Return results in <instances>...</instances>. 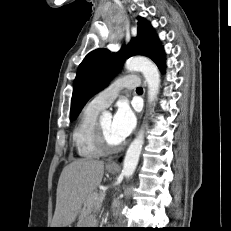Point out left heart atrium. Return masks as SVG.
<instances>
[{"instance_id":"39dd6f15","label":"left heart atrium","mask_w":231,"mask_h":231,"mask_svg":"<svg viewBox=\"0 0 231 231\" xmlns=\"http://www.w3.org/2000/svg\"><path fill=\"white\" fill-rule=\"evenodd\" d=\"M136 117L126 103H121L112 120V131L118 141H124L134 130Z\"/></svg>"}]
</instances>
